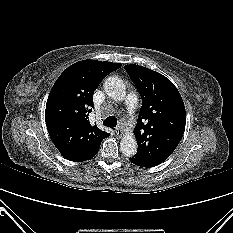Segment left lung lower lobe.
Instances as JSON below:
<instances>
[{
  "instance_id": "0a47b994",
  "label": "left lung lower lobe",
  "mask_w": 233,
  "mask_h": 233,
  "mask_svg": "<svg viewBox=\"0 0 233 233\" xmlns=\"http://www.w3.org/2000/svg\"><path fill=\"white\" fill-rule=\"evenodd\" d=\"M130 161H131L133 164L138 165V166H141V167H146V168L152 167V166L146 164L145 162H143V161H141V160H139V159H137V158H135V157H131V158H130Z\"/></svg>"
}]
</instances>
